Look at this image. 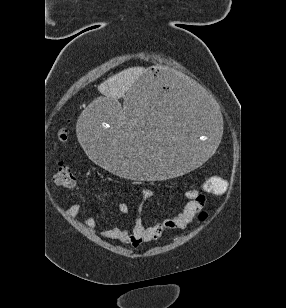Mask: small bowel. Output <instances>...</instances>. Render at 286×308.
<instances>
[{"mask_svg": "<svg viewBox=\"0 0 286 308\" xmlns=\"http://www.w3.org/2000/svg\"><path fill=\"white\" fill-rule=\"evenodd\" d=\"M153 195L154 192L151 189L146 188L142 190L144 200L150 199ZM185 196L188 201L184 209L175 217L147 226L142 223L137 215L132 228L126 229L116 226L106 230L103 235L106 238L117 240L132 247H139L143 243L157 241L166 229H185L205 204V196L196 189L187 190ZM81 210V205L74 204L67 210V215L75 217L80 214ZM118 210L121 213H128L129 207L125 203H120L118 204ZM97 221L96 216H90L84 221V225L92 228L97 224Z\"/></svg>", "mask_w": 286, "mask_h": 308, "instance_id": "c3829d8e", "label": "small bowel"}]
</instances>
